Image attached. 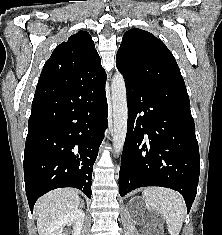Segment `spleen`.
<instances>
[{"label": "spleen", "instance_id": "3e777b00", "mask_svg": "<svg viewBox=\"0 0 222 235\" xmlns=\"http://www.w3.org/2000/svg\"><path fill=\"white\" fill-rule=\"evenodd\" d=\"M142 196L148 206L157 211L166 221L168 232L179 235L186 214L182 195L168 188H147Z\"/></svg>", "mask_w": 222, "mask_h": 235}]
</instances>
